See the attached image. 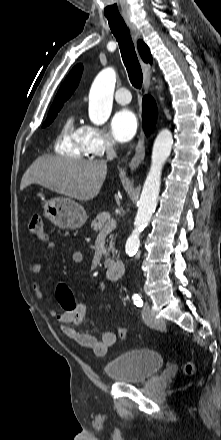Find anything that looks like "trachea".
Masks as SVG:
<instances>
[{
    "label": "trachea",
    "mask_w": 221,
    "mask_h": 440,
    "mask_svg": "<svg viewBox=\"0 0 221 440\" xmlns=\"http://www.w3.org/2000/svg\"><path fill=\"white\" fill-rule=\"evenodd\" d=\"M107 19L110 29L119 44L122 59L127 69L130 82L135 88L141 89L143 84V74L130 36V31L123 18L108 17Z\"/></svg>",
    "instance_id": "3493384b"
}]
</instances>
